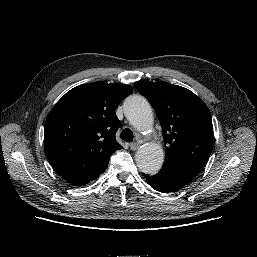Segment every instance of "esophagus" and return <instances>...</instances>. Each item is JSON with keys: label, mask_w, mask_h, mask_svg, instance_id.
<instances>
[{"label": "esophagus", "mask_w": 257, "mask_h": 257, "mask_svg": "<svg viewBox=\"0 0 257 257\" xmlns=\"http://www.w3.org/2000/svg\"><path fill=\"white\" fill-rule=\"evenodd\" d=\"M139 143H137V142H135V143H131L130 144V149L131 150H133V151H135V150H137L138 148H139Z\"/></svg>", "instance_id": "obj_1"}]
</instances>
